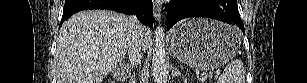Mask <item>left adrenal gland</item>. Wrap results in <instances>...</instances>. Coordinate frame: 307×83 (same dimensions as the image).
<instances>
[{
	"label": "left adrenal gland",
	"mask_w": 307,
	"mask_h": 83,
	"mask_svg": "<svg viewBox=\"0 0 307 83\" xmlns=\"http://www.w3.org/2000/svg\"><path fill=\"white\" fill-rule=\"evenodd\" d=\"M171 74L173 77H184L183 74L179 71V69L172 66Z\"/></svg>",
	"instance_id": "obj_1"
}]
</instances>
